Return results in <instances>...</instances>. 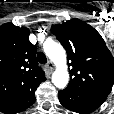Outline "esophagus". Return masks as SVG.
I'll list each match as a JSON object with an SVG mask.
<instances>
[{"label": "esophagus", "instance_id": "obj_1", "mask_svg": "<svg viewBox=\"0 0 114 114\" xmlns=\"http://www.w3.org/2000/svg\"><path fill=\"white\" fill-rule=\"evenodd\" d=\"M47 68H48L49 72H52L54 70V64H53V62L49 61L47 63Z\"/></svg>", "mask_w": 114, "mask_h": 114}]
</instances>
